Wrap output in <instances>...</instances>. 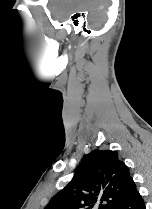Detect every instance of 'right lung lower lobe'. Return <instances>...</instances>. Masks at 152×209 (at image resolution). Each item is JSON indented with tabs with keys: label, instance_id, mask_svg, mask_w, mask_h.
Segmentation results:
<instances>
[{
	"label": "right lung lower lobe",
	"instance_id": "right-lung-lower-lobe-1",
	"mask_svg": "<svg viewBox=\"0 0 152 209\" xmlns=\"http://www.w3.org/2000/svg\"><path fill=\"white\" fill-rule=\"evenodd\" d=\"M113 209H146L142 196L135 188L121 203Z\"/></svg>",
	"mask_w": 152,
	"mask_h": 209
}]
</instances>
